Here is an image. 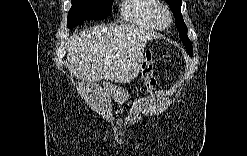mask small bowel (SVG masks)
Returning a JSON list of instances; mask_svg holds the SVG:
<instances>
[{
  "label": "small bowel",
  "mask_w": 247,
  "mask_h": 156,
  "mask_svg": "<svg viewBox=\"0 0 247 156\" xmlns=\"http://www.w3.org/2000/svg\"><path fill=\"white\" fill-rule=\"evenodd\" d=\"M143 75H144L147 87L151 90L155 85L154 65L151 61H148L145 64L143 68Z\"/></svg>",
  "instance_id": "c3829d8e"
}]
</instances>
